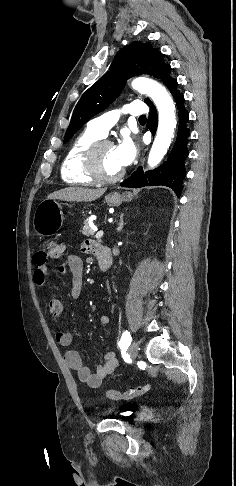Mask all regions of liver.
Instances as JSON below:
<instances>
[{"label": "liver", "instance_id": "liver-1", "mask_svg": "<svg viewBox=\"0 0 236 486\" xmlns=\"http://www.w3.org/2000/svg\"><path fill=\"white\" fill-rule=\"evenodd\" d=\"M105 193V189H89L82 187H68L55 191L47 196L48 199L65 201L91 202Z\"/></svg>", "mask_w": 236, "mask_h": 486}]
</instances>
